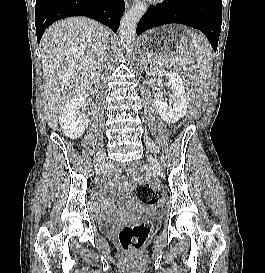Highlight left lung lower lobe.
I'll return each instance as SVG.
<instances>
[{
	"mask_svg": "<svg viewBox=\"0 0 265 273\" xmlns=\"http://www.w3.org/2000/svg\"><path fill=\"white\" fill-rule=\"evenodd\" d=\"M170 23H180L202 31L217 50L222 24V0H168L150 6L137 25V35Z\"/></svg>",
	"mask_w": 265,
	"mask_h": 273,
	"instance_id": "left-lung-lower-lobe-1",
	"label": "left lung lower lobe"
}]
</instances>
